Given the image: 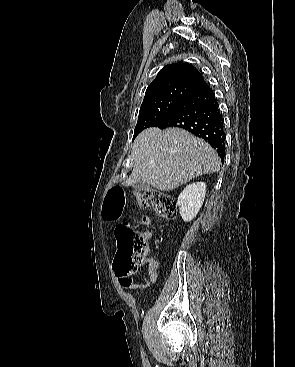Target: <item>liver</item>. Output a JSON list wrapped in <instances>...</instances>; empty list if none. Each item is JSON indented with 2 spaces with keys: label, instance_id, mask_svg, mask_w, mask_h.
<instances>
[{
  "label": "liver",
  "instance_id": "obj_1",
  "mask_svg": "<svg viewBox=\"0 0 295 367\" xmlns=\"http://www.w3.org/2000/svg\"><path fill=\"white\" fill-rule=\"evenodd\" d=\"M131 156L133 170L126 184L143 181L161 191L218 172L221 165L209 144L179 128L143 130L134 141Z\"/></svg>",
  "mask_w": 295,
  "mask_h": 367
}]
</instances>
